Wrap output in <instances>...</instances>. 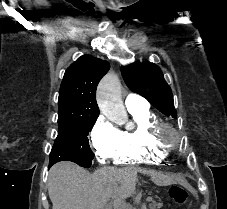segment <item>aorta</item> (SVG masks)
<instances>
[{"instance_id": "1", "label": "aorta", "mask_w": 227, "mask_h": 209, "mask_svg": "<svg viewBox=\"0 0 227 209\" xmlns=\"http://www.w3.org/2000/svg\"><path fill=\"white\" fill-rule=\"evenodd\" d=\"M97 101L102 113L112 121L126 118L127 112L121 99V84L115 74H107L100 82Z\"/></svg>"}]
</instances>
